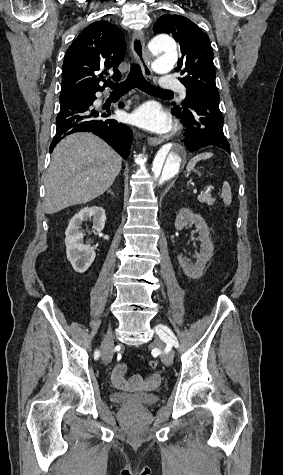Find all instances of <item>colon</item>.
<instances>
[{
	"label": "colon",
	"mask_w": 283,
	"mask_h": 475,
	"mask_svg": "<svg viewBox=\"0 0 283 475\" xmlns=\"http://www.w3.org/2000/svg\"><path fill=\"white\" fill-rule=\"evenodd\" d=\"M149 366L151 368H156L158 366V360L156 358H152L150 361H149Z\"/></svg>",
	"instance_id": "obj_1"
}]
</instances>
